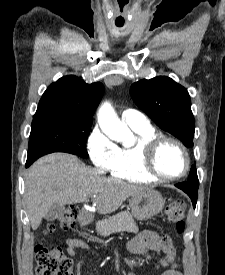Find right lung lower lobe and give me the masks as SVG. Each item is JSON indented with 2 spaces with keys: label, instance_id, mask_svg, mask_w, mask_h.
Returning a JSON list of instances; mask_svg holds the SVG:
<instances>
[{
  "label": "right lung lower lobe",
  "instance_id": "98d812e1",
  "mask_svg": "<svg viewBox=\"0 0 225 275\" xmlns=\"http://www.w3.org/2000/svg\"><path fill=\"white\" fill-rule=\"evenodd\" d=\"M29 165H31L28 161L26 162V167H28Z\"/></svg>",
  "mask_w": 225,
  "mask_h": 275
}]
</instances>
